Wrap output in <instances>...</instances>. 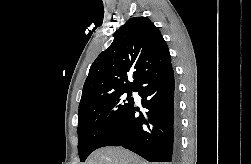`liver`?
I'll return each mask as SVG.
<instances>
[{
    "mask_svg": "<svg viewBox=\"0 0 251 164\" xmlns=\"http://www.w3.org/2000/svg\"><path fill=\"white\" fill-rule=\"evenodd\" d=\"M84 164H148L138 155L121 147L95 150Z\"/></svg>",
    "mask_w": 251,
    "mask_h": 164,
    "instance_id": "6515ba94",
    "label": "liver"
}]
</instances>
